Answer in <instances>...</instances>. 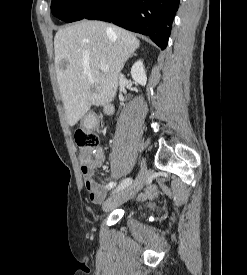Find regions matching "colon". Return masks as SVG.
<instances>
[{
  "instance_id": "5ec220e1",
  "label": "colon",
  "mask_w": 247,
  "mask_h": 275,
  "mask_svg": "<svg viewBox=\"0 0 247 275\" xmlns=\"http://www.w3.org/2000/svg\"><path fill=\"white\" fill-rule=\"evenodd\" d=\"M75 142L81 149V161L85 165L92 160V152L98 145V136L95 133L78 129L75 133Z\"/></svg>"
}]
</instances>
